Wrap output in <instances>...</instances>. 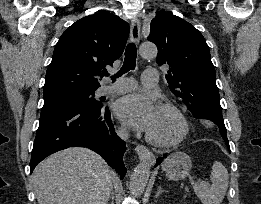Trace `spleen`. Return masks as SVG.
I'll return each instance as SVG.
<instances>
[{"mask_svg":"<svg viewBox=\"0 0 261 204\" xmlns=\"http://www.w3.org/2000/svg\"><path fill=\"white\" fill-rule=\"evenodd\" d=\"M212 185L198 184L194 192L203 204H221L229 183V174L224 165L215 161L210 175Z\"/></svg>","mask_w":261,"mask_h":204,"instance_id":"obj_1","label":"spleen"}]
</instances>
